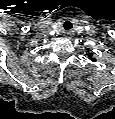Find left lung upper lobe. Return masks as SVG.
<instances>
[{"mask_svg": "<svg viewBox=\"0 0 115 119\" xmlns=\"http://www.w3.org/2000/svg\"><path fill=\"white\" fill-rule=\"evenodd\" d=\"M89 56H90V60H92L93 62H95L96 61V59L95 58H92V54H89Z\"/></svg>", "mask_w": 115, "mask_h": 119, "instance_id": "obj_1", "label": "left lung upper lobe"}]
</instances>
